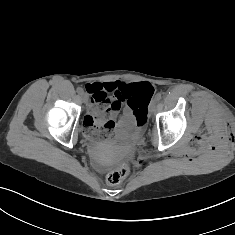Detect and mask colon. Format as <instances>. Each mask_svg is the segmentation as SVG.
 I'll return each mask as SVG.
<instances>
[{
	"label": "colon",
	"instance_id": "obj_1",
	"mask_svg": "<svg viewBox=\"0 0 235 235\" xmlns=\"http://www.w3.org/2000/svg\"><path fill=\"white\" fill-rule=\"evenodd\" d=\"M153 93V87L146 82L131 84L128 86L123 94L122 100L126 101L127 105L134 110L136 118V124L138 126H144L148 120V111L146 107L147 100ZM110 121V114L108 110H102L94 116L86 118V126L91 133L97 130V133L101 138H107L109 135L101 132V129L106 126ZM129 167L126 163H123L110 171L106 176V182L108 185L114 186L121 183L127 176Z\"/></svg>",
	"mask_w": 235,
	"mask_h": 235
}]
</instances>
